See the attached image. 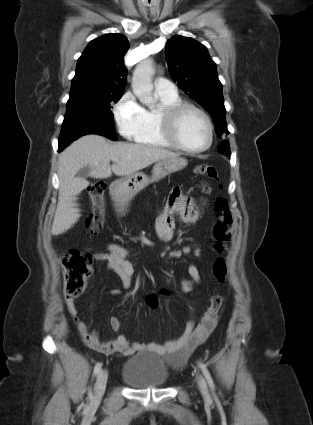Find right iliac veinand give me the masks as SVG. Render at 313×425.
Instances as JSON below:
<instances>
[{
	"instance_id": "obj_1",
	"label": "right iliac vein",
	"mask_w": 313,
	"mask_h": 425,
	"mask_svg": "<svg viewBox=\"0 0 313 425\" xmlns=\"http://www.w3.org/2000/svg\"><path fill=\"white\" fill-rule=\"evenodd\" d=\"M107 379H108L107 370L100 371L94 386V395L92 397L91 404H96L101 400L106 388Z\"/></svg>"
}]
</instances>
